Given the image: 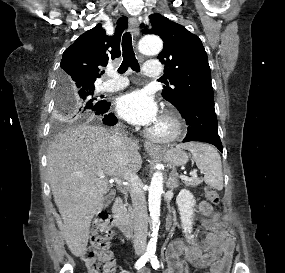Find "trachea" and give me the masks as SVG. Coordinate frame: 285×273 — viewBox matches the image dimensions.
Segmentation results:
<instances>
[{"instance_id": "trachea-1", "label": "trachea", "mask_w": 285, "mask_h": 273, "mask_svg": "<svg viewBox=\"0 0 285 273\" xmlns=\"http://www.w3.org/2000/svg\"><path fill=\"white\" fill-rule=\"evenodd\" d=\"M122 52H123V61L118 69L120 74H123L130 67L136 72H140L139 63L135 57L132 46V36L129 32H126L122 38Z\"/></svg>"}]
</instances>
